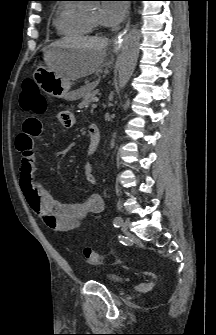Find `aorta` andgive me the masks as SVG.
Instances as JSON below:
<instances>
[{"instance_id": "762f6f07", "label": "aorta", "mask_w": 216, "mask_h": 335, "mask_svg": "<svg viewBox=\"0 0 216 335\" xmlns=\"http://www.w3.org/2000/svg\"><path fill=\"white\" fill-rule=\"evenodd\" d=\"M140 33L133 26L124 38L118 66V88L124 89L132 76L139 56Z\"/></svg>"}]
</instances>
